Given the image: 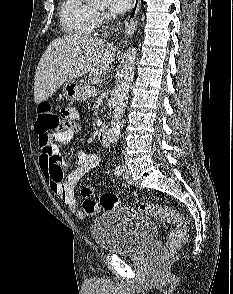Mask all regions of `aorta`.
<instances>
[{
    "label": "aorta",
    "mask_w": 233,
    "mask_h": 294,
    "mask_svg": "<svg viewBox=\"0 0 233 294\" xmlns=\"http://www.w3.org/2000/svg\"><path fill=\"white\" fill-rule=\"evenodd\" d=\"M92 4L104 3L106 0H86ZM136 65V49L129 48L124 54L121 68L117 73V81L114 88V108L111 128L107 137L111 143H116L120 138V120L124 113L125 103L128 97L129 89L134 77Z\"/></svg>",
    "instance_id": "obj_1"
}]
</instances>
